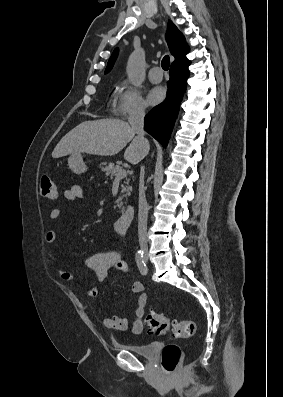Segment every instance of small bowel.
<instances>
[{
	"instance_id": "obj_1",
	"label": "small bowel",
	"mask_w": 283,
	"mask_h": 397,
	"mask_svg": "<svg viewBox=\"0 0 283 397\" xmlns=\"http://www.w3.org/2000/svg\"><path fill=\"white\" fill-rule=\"evenodd\" d=\"M63 196L68 201L76 202L84 196L82 186L75 184L70 188L64 190ZM62 211L59 208H53L49 217L51 220H57L61 217ZM57 239V233L54 230H49L44 235V240L48 244H52ZM47 260L53 265L61 280L66 282H77L76 276L57 264V259L52 250H47ZM86 267L95 273L96 283L88 288L87 295L95 297L98 294V284L103 282L110 270H118L121 272H129L128 264L121 258L116 251H108L91 255L86 260ZM131 292L137 294V302L135 309V319L132 322V332L139 334L143 330V316L147 304V295L144 293V286L141 282L135 281L131 285ZM103 326L107 329L126 330L129 326V319L127 317H120L111 315L103 318Z\"/></svg>"
}]
</instances>
